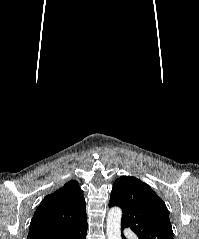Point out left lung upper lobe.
I'll return each instance as SVG.
<instances>
[{
    "mask_svg": "<svg viewBox=\"0 0 199 239\" xmlns=\"http://www.w3.org/2000/svg\"><path fill=\"white\" fill-rule=\"evenodd\" d=\"M123 211L121 227H130L139 239H173L165 203L141 180L121 176L112 188L109 207Z\"/></svg>",
    "mask_w": 199,
    "mask_h": 239,
    "instance_id": "5c2ea615",
    "label": "left lung upper lobe"
}]
</instances>
